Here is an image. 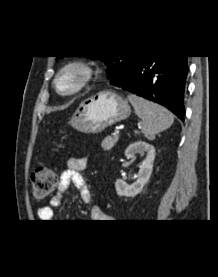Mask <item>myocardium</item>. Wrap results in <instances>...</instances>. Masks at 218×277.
I'll list each match as a JSON object with an SVG mask.
<instances>
[{"label": "myocardium", "instance_id": "f54148a6", "mask_svg": "<svg viewBox=\"0 0 218 277\" xmlns=\"http://www.w3.org/2000/svg\"><path fill=\"white\" fill-rule=\"evenodd\" d=\"M67 75H72L74 83L70 88H62L61 80ZM95 75V69L84 60H72L59 67L53 80L56 92L62 96H72L86 88Z\"/></svg>", "mask_w": 218, "mask_h": 277}]
</instances>
